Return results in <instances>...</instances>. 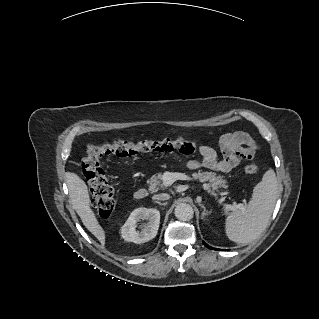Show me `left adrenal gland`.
<instances>
[{
    "instance_id": "a2214340",
    "label": "left adrenal gland",
    "mask_w": 319,
    "mask_h": 319,
    "mask_svg": "<svg viewBox=\"0 0 319 319\" xmlns=\"http://www.w3.org/2000/svg\"><path fill=\"white\" fill-rule=\"evenodd\" d=\"M202 208H203V212H202V218L203 220H206V216L209 215V212L206 210V207L203 204H199Z\"/></svg>"
}]
</instances>
